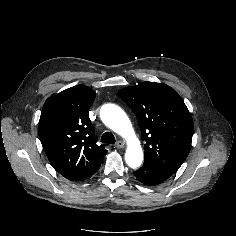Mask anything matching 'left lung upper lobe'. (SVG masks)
Instances as JSON below:
<instances>
[{
    "label": "left lung upper lobe",
    "instance_id": "1",
    "mask_svg": "<svg viewBox=\"0 0 236 236\" xmlns=\"http://www.w3.org/2000/svg\"><path fill=\"white\" fill-rule=\"evenodd\" d=\"M118 93L138 120L146 142L145 161L173 175L190 152L194 130L183 99L173 88L155 82L126 87Z\"/></svg>",
    "mask_w": 236,
    "mask_h": 236
}]
</instances>
